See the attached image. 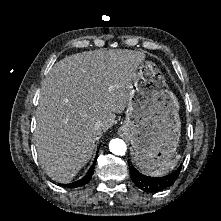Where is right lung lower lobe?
Here are the masks:
<instances>
[{
    "instance_id": "1",
    "label": "right lung lower lobe",
    "mask_w": 221,
    "mask_h": 221,
    "mask_svg": "<svg viewBox=\"0 0 221 221\" xmlns=\"http://www.w3.org/2000/svg\"><path fill=\"white\" fill-rule=\"evenodd\" d=\"M95 162L96 160L94 161V163ZM93 172H94V166H92V168L88 171V173L82 179L76 182L70 183V184H63V186L67 188H77V187L84 186L91 180Z\"/></svg>"
}]
</instances>
